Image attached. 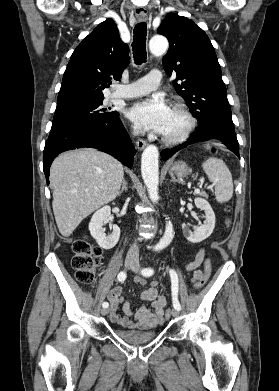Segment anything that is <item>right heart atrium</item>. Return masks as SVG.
<instances>
[{"label":"right heart atrium","instance_id":"d8ad5b80","mask_svg":"<svg viewBox=\"0 0 279 391\" xmlns=\"http://www.w3.org/2000/svg\"><path fill=\"white\" fill-rule=\"evenodd\" d=\"M137 131H138L137 127L133 126V127H132V132H133V133H136Z\"/></svg>","mask_w":279,"mask_h":391}]
</instances>
